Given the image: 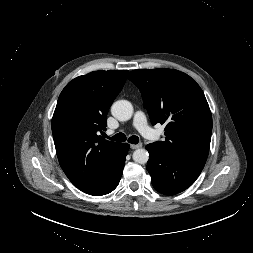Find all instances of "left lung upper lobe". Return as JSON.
<instances>
[{
  "mask_svg": "<svg viewBox=\"0 0 253 253\" xmlns=\"http://www.w3.org/2000/svg\"><path fill=\"white\" fill-rule=\"evenodd\" d=\"M128 79L141 91L151 123L166 124V140L155 142L159 148L203 169L209 153L212 116L197 82L172 69L133 70Z\"/></svg>",
  "mask_w": 253,
  "mask_h": 253,
  "instance_id": "left-lung-upper-lobe-1",
  "label": "left lung upper lobe"
}]
</instances>
